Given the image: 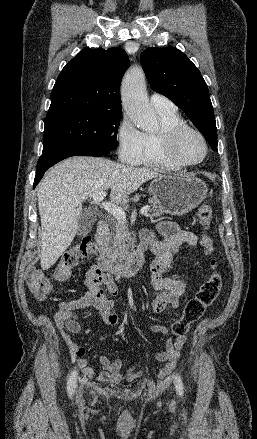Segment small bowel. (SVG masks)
Returning a JSON list of instances; mask_svg holds the SVG:
<instances>
[{"instance_id":"obj_1","label":"small bowel","mask_w":257,"mask_h":439,"mask_svg":"<svg viewBox=\"0 0 257 439\" xmlns=\"http://www.w3.org/2000/svg\"><path fill=\"white\" fill-rule=\"evenodd\" d=\"M157 231L164 237V240L159 241L150 230H143L140 234V240L147 242L152 252L156 255L149 269L150 283L153 289L151 309L154 313L167 311L170 314H174L187 284L184 280L165 277L163 273L170 266L174 256L181 248L196 245L198 238L192 232L180 230L172 222L159 223ZM85 284L87 292L82 297L73 300H63L59 303V310L54 315L56 325L70 333H79L82 327L74 311L93 307L99 311L102 320L107 326H117L119 318L114 311L113 297L116 295L118 288L112 276L104 273L97 266H93L86 273ZM151 331L166 336L165 349L156 352L155 359L165 363L164 373H168L176 366L181 350L187 341V336L181 335L172 340L169 337L168 329L162 325L152 326ZM64 342L70 356L76 361L84 375L90 379L100 382L118 383L123 380L134 381L142 375V370L136 366L124 370V362L121 359H110L105 355H100L98 358L101 371L97 372L89 366L88 360L84 357V347L74 343L66 336H64Z\"/></svg>"}]
</instances>
